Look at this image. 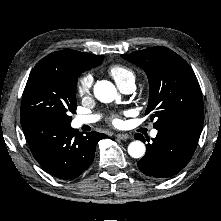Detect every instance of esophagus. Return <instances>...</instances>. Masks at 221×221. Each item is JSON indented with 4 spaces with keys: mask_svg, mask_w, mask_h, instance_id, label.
Returning <instances> with one entry per match:
<instances>
[{
    "mask_svg": "<svg viewBox=\"0 0 221 221\" xmlns=\"http://www.w3.org/2000/svg\"><path fill=\"white\" fill-rule=\"evenodd\" d=\"M116 137L121 140H127L130 138L128 134H121V133L117 134Z\"/></svg>",
    "mask_w": 221,
    "mask_h": 221,
    "instance_id": "34e87169",
    "label": "esophagus"
}]
</instances>
